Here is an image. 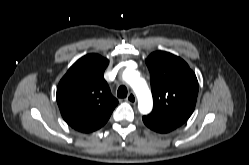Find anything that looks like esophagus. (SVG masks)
Here are the masks:
<instances>
[{
  "mask_svg": "<svg viewBox=\"0 0 249 165\" xmlns=\"http://www.w3.org/2000/svg\"><path fill=\"white\" fill-rule=\"evenodd\" d=\"M126 101L129 102L130 104H135L137 101L136 95L133 92L129 93V95L126 98Z\"/></svg>",
  "mask_w": 249,
  "mask_h": 165,
  "instance_id": "esophagus-1",
  "label": "esophagus"
}]
</instances>
